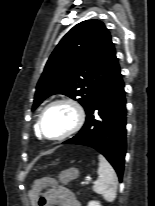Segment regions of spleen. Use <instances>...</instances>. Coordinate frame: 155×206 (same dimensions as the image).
I'll use <instances>...</instances> for the list:
<instances>
[{"mask_svg": "<svg viewBox=\"0 0 155 206\" xmlns=\"http://www.w3.org/2000/svg\"><path fill=\"white\" fill-rule=\"evenodd\" d=\"M98 159V179L93 186V190L102 195L106 201L112 202L116 198L117 175L113 167L102 155H99Z\"/></svg>", "mask_w": 155, "mask_h": 206, "instance_id": "spleen-1", "label": "spleen"}]
</instances>
